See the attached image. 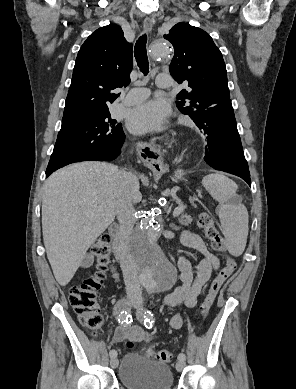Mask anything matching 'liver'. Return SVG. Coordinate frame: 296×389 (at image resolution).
<instances>
[{
	"label": "liver",
	"instance_id": "obj_1",
	"mask_svg": "<svg viewBox=\"0 0 296 389\" xmlns=\"http://www.w3.org/2000/svg\"><path fill=\"white\" fill-rule=\"evenodd\" d=\"M117 166L81 162L53 173L45 182L42 232L56 281L67 285L87 250L114 221L119 196ZM132 201L141 200L134 175Z\"/></svg>",
	"mask_w": 296,
	"mask_h": 389
}]
</instances>
